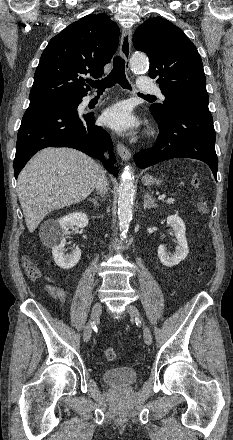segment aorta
<instances>
[{
    "mask_svg": "<svg viewBox=\"0 0 233 440\" xmlns=\"http://www.w3.org/2000/svg\"><path fill=\"white\" fill-rule=\"evenodd\" d=\"M130 67L135 73H145L149 68L148 58L142 53L134 54L130 59ZM118 195L120 236L125 238L133 216L134 201V175L133 169L129 166L125 168L121 176Z\"/></svg>",
    "mask_w": 233,
    "mask_h": 440,
    "instance_id": "762f6f07",
    "label": "aorta"
}]
</instances>
